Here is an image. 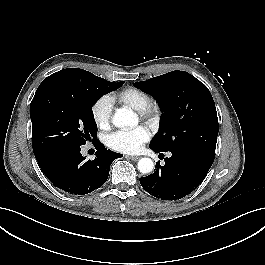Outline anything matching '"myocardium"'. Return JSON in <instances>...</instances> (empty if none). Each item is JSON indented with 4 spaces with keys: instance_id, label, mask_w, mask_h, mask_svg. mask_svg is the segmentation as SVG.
Masks as SVG:
<instances>
[{
    "instance_id": "myocardium-1",
    "label": "myocardium",
    "mask_w": 265,
    "mask_h": 265,
    "mask_svg": "<svg viewBox=\"0 0 265 265\" xmlns=\"http://www.w3.org/2000/svg\"><path fill=\"white\" fill-rule=\"evenodd\" d=\"M159 107L150 102L143 109L138 111V114L141 119L145 120L149 124H156L159 118Z\"/></svg>"
}]
</instances>
